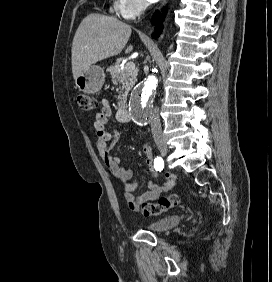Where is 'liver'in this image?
<instances>
[{
  "instance_id": "liver-1",
  "label": "liver",
  "mask_w": 272,
  "mask_h": 282,
  "mask_svg": "<svg viewBox=\"0 0 272 282\" xmlns=\"http://www.w3.org/2000/svg\"><path fill=\"white\" fill-rule=\"evenodd\" d=\"M131 27L98 13L87 15L80 23L72 43V73L76 79L92 64L118 55L125 48L131 35ZM133 50L127 47L125 53Z\"/></svg>"
}]
</instances>
